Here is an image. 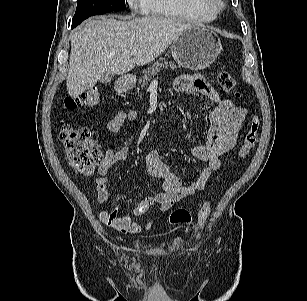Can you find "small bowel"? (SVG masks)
Returning <instances> with one entry per match:
<instances>
[{"instance_id":"small-bowel-1","label":"small bowel","mask_w":307,"mask_h":301,"mask_svg":"<svg viewBox=\"0 0 307 301\" xmlns=\"http://www.w3.org/2000/svg\"><path fill=\"white\" fill-rule=\"evenodd\" d=\"M174 89L177 92H195L207 100L213 107L209 111V128L204 144L193 148V156L207 165L191 176L185 183L173 174L163 162L159 151L147 153L145 162L148 173L161 181V191L157 194L147 195L141 202L132 208L130 213L119 215V204L111 210H103L99 218L106 226L127 234H138L144 230H151L158 216L148 221L138 218L144 215L152 206L157 205L160 213H165L180 199L187 195L202 191L213 175L221 168V157L230 151L236 144L246 109L235 105L231 100L222 99L211 85L200 75H182L175 79ZM138 118L134 109L122 110L109 118L106 129L110 132H119L125 128L127 121ZM129 140L117 150H106L104 158L98 167V176L95 178L96 195L100 203L109 200L107 189V173L117 162L125 160L129 154Z\"/></svg>"}]
</instances>
